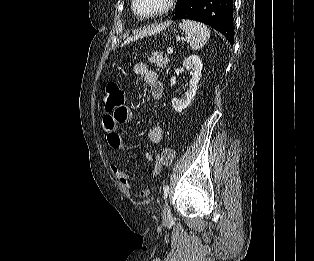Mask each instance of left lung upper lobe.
Returning a JSON list of instances; mask_svg holds the SVG:
<instances>
[{
  "label": "left lung upper lobe",
  "mask_w": 314,
  "mask_h": 261,
  "mask_svg": "<svg viewBox=\"0 0 314 261\" xmlns=\"http://www.w3.org/2000/svg\"><path fill=\"white\" fill-rule=\"evenodd\" d=\"M184 0H177L176 7H175V12L180 8Z\"/></svg>",
  "instance_id": "1"
}]
</instances>
